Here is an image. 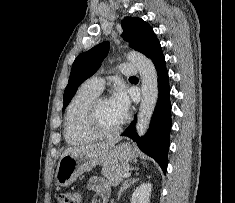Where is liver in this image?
I'll list each match as a JSON object with an SVG mask.
<instances>
[{
  "label": "liver",
  "mask_w": 235,
  "mask_h": 203,
  "mask_svg": "<svg viewBox=\"0 0 235 203\" xmlns=\"http://www.w3.org/2000/svg\"><path fill=\"white\" fill-rule=\"evenodd\" d=\"M120 138L110 139L104 142L94 143V144H86L82 146H74L67 148L63 153L62 156H66L69 154H76L79 152H87V151H96L103 148H108L114 146L117 142H119Z\"/></svg>",
  "instance_id": "obj_1"
}]
</instances>
